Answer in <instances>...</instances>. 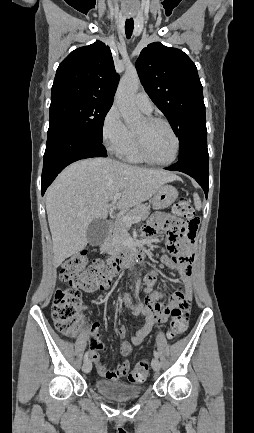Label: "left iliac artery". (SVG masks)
Returning <instances> with one entry per match:
<instances>
[{
    "instance_id": "left-iliac-artery-1",
    "label": "left iliac artery",
    "mask_w": 254,
    "mask_h": 433,
    "mask_svg": "<svg viewBox=\"0 0 254 433\" xmlns=\"http://www.w3.org/2000/svg\"><path fill=\"white\" fill-rule=\"evenodd\" d=\"M155 358H159V353L157 351H154Z\"/></svg>"
}]
</instances>
